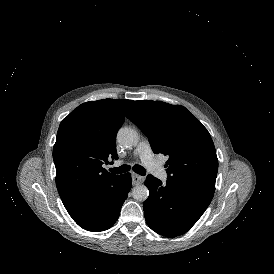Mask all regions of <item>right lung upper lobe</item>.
I'll return each instance as SVG.
<instances>
[{
	"mask_svg": "<svg viewBox=\"0 0 274 274\" xmlns=\"http://www.w3.org/2000/svg\"><path fill=\"white\" fill-rule=\"evenodd\" d=\"M132 100L103 99L81 104L61 122L53 160L56 185L66 210L94 197L120 175L102 167L117 159L116 133Z\"/></svg>",
	"mask_w": 274,
	"mask_h": 274,
	"instance_id": "obj_1",
	"label": "right lung upper lobe"
}]
</instances>
